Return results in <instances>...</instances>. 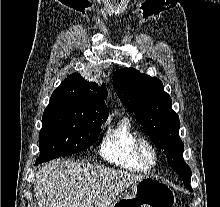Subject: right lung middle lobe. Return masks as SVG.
I'll list each match as a JSON object with an SVG mask.
<instances>
[{
	"label": "right lung middle lobe",
	"instance_id": "right-lung-middle-lobe-1",
	"mask_svg": "<svg viewBox=\"0 0 220 207\" xmlns=\"http://www.w3.org/2000/svg\"><path fill=\"white\" fill-rule=\"evenodd\" d=\"M105 120L75 100L51 97L42 117L36 164L87 149Z\"/></svg>",
	"mask_w": 220,
	"mask_h": 207
}]
</instances>
